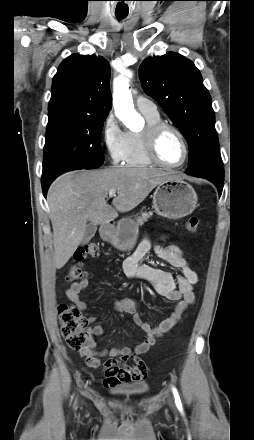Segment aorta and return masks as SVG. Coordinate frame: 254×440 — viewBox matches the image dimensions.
I'll return each instance as SVG.
<instances>
[{
	"label": "aorta",
	"mask_w": 254,
	"mask_h": 440,
	"mask_svg": "<svg viewBox=\"0 0 254 440\" xmlns=\"http://www.w3.org/2000/svg\"><path fill=\"white\" fill-rule=\"evenodd\" d=\"M113 105L115 115L127 128L134 131L142 127L143 118L134 109L129 80L125 76H119L113 81Z\"/></svg>",
	"instance_id": "obj_1"
}]
</instances>
